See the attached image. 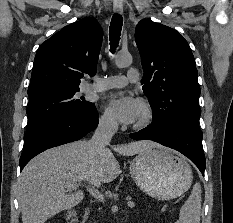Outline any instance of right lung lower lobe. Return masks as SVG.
<instances>
[{
	"instance_id": "98d812e1",
	"label": "right lung lower lobe",
	"mask_w": 233,
	"mask_h": 223,
	"mask_svg": "<svg viewBox=\"0 0 233 223\" xmlns=\"http://www.w3.org/2000/svg\"><path fill=\"white\" fill-rule=\"evenodd\" d=\"M98 125V112L92 105L68 116L42 125L24 136L25 146L20 157V171L39 153L85 136Z\"/></svg>"
}]
</instances>
